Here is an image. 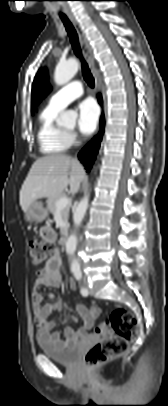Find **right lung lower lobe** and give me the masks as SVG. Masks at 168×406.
Returning a JSON list of instances; mask_svg holds the SVG:
<instances>
[{
  "label": "right lung lower lobe",
  "mask_w": 168,
  "mask_h": 406,
  "mask_svg": "<svg viewBox=\"0 0 168 406\" xmlns=\"http://www.w3.org/2000/svg\"><path fill=\"white\" fill-rule=\"evenodd\" d=\"M99 103H102L101 96H98ZM100 133L86 146L82 149V151L79 153V158L82 161V163L85 165L86 169L89 171L92 167V164L95 160L96 154L98 152L100 142L102 139V134L104 130V117H101L100 121Z\"/></svg>",
  "instance_id": "1"
}]
</instances>
